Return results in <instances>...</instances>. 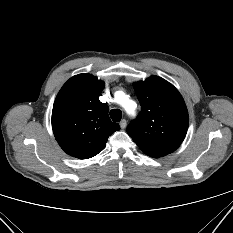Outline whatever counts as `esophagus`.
Wrapping results in <instances>:
<instances>
[{"mask_svg": "<svg viewBox=\"0 0 233 233\" xmlns=\"http://www.w3.org/2000/svg\"><path fill=\"white\" fill-rule=\"evenodd\" d=\"M126 125H127V121L125 119H122L120 121V127L121 129H125L126 128Z\"/></svg>", "mask_w": 233, "mask_h": 233, "instance_id": "esophagus-1", "label": "esophagus"}]
</instances>
